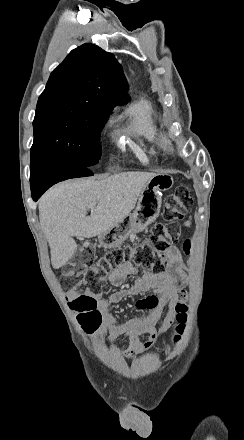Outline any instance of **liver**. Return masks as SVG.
<instances>
[{
  "label": "liver",
  "instance_id": "1",
  "mask_svg": "<svg viewBox=\"0 0 244 440\" xmlns=\"http://www.w3.org/2000/svg\"><path fill=\"white\" fill-rule=\"evenodd\" d=\"M149 172H121L105 180L78 178L50 188L39 200L40 226L50 248L54 270L66 266L79 240L94 238L122 222L134 210ZM93 206L94 212L87 216Z\"/></svg>",
  "mask_w": 244,
  "mask_h": 440
}]
</instances>
